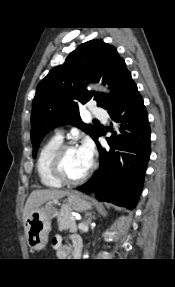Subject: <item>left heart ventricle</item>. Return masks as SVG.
Returning a JSON list of instances; mask_svg holds the SVG:
<instances>
[{
	"label": "left heart ventricle",
	"mask_w": 175,
	"mask_h": 287,
	"mask_svg": "<svg viewBox=\"0 0 175 287\" xmlns=\"http://www.w3.org/2000/svg\"><path fill=\"white\" fill-rule=\"evenodd\" d=\"M90 164L78 147L66 151L63 158L64 171L70 178L81 176L89 168Z\"/></svg>",
	"instance_id": "b2bd125f"
}]
</instances>
